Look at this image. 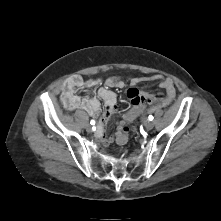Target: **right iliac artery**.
<instances>
[{
    "label": "right iliac artery",
    "mask_w": 221,
    "mask_h": 221,
    "mask_svg": "<svg viewBox=\"0 0 221 221\" xmlns=\"http://www.w3.org/2000/svg\"><path fill=\"white\" fill-rule=\"evenodd\" d=\"M90 124H91V125H95V120H91V121H90Z\"/></svg>",
    "instance_id": "obj_1"
}]
</instances>
